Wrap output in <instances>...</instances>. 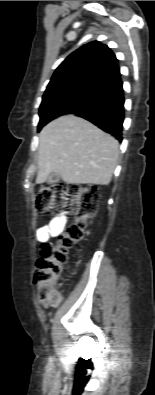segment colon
Returning a JSON list of instances; mask_svg holds the SVG:
<instances>
[{"label": "colon", "mask_w": 155, "mask_h": 395, "mask_svg": "<svg viewBox=\"0 0 155 395\" xmlns=\"http://www.w3.org/2000/svg\"><path fill=\"white\" fill-rule=\"evenodd\" d=\"M99 204V192L92 185L55 183L39 189L35 210L46 214L58 206L68 207L74 221L61 234L57 242L44 243L34 272V285L38 301L47 306H56L61 296L56 285L61 280L68 262V253L82 243L87 235L91 218Z\"/></svg>", "instance_id": "obj_1"}]
</instances>
